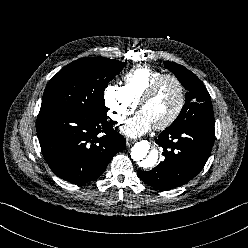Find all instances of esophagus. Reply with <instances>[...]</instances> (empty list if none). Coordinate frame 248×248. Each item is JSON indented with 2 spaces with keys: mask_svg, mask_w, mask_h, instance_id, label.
Returning a JSON list of instances; mask_svg holds the SVG:
<instances>
[{
  "mask_svg": "<svg viewBox=\"0 0 248 248\" xmlns=\"http://www.w3.org/2000/svg\"><path fill=\"white\" fill-rule=\"evenodd\" d=\"M134 142H135V140H133V139H129V138L126 139V145L128 147L131 146L132 144H134Z\"/></svg>",
  "mask_w": 248,
  "mask_h": 248,
  "instance_id": "esophagus-1",
  "label": "esophagus"
}]
</instances>
